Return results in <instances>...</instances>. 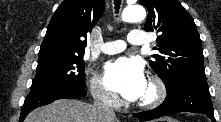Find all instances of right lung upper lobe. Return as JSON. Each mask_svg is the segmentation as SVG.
I'll return each instance as SVG.
<instances>
[{
  "label": "right lung upper lobe",
  "instance_id": "cb5924a9",
  "mask_svg": "<svg viewBox=\"0 0 221 122\" xmlns=\"http://www.w3.org/2000/svg\"><path fill=\"white\" fill-rule=\"evenodd\" d=\"M104 8V0H64L50 20L39 59L83 56L87 33L100 19Z\"/></svg>",
  "mask_w": 221,
  "mask_h": 122
}]
</instances>
